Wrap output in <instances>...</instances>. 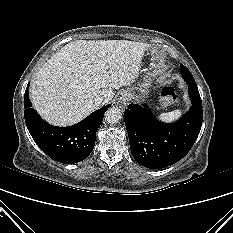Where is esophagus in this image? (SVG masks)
I'll list each match as a JSON object with an SVG mask.
<instances>
[{
    "mask_svg": "<svg viewBox=\"0 0 233 233\" xmlns=\"http://www.w3.org/2000/svg\"><path fill=\"white\" fill-rule=\"evenodd\" d=\"M128 101H129V95L126 91H123L120 93V95L118 97L117 106L123 110V109H125Z\"/></svg>",
    "mask_w": 233,
    "mask_h": 233,
    "instance_id": "esophagus-1",
    "label": "esophagus"
}]
</instances>
